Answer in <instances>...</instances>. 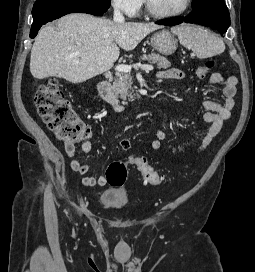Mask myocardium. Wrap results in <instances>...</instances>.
<instances>
[{"label": "myocardium", "instance_id": "f54148a6", "mask_svg": "<svg viewBox=\"0 0 255 272\" xmlns=\"http://www.w3.org/2000/svg\"><path fill=\"white\" fill-rule=\"evenodd\" d=\"M144 1V5H145V11L146 13L153 17V18H158V19H168V18H174L177 16H180L182 14H184L190 7L192 4V0H186L185 5L174 12H158L156 10H154L150 4V0H143Z\"/></svg>", "mask_w": 255, "mask_h": 272}]
</instances>
